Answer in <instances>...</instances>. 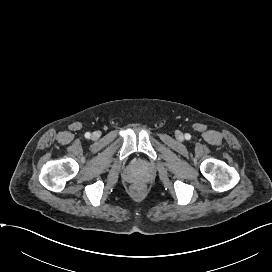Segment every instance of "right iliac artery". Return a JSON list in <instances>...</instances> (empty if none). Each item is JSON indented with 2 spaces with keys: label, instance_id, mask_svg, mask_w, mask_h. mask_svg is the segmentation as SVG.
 Here are the masks:
<instances>
[{
  "label": "right iliac artery",
  "instance_id": "82829eb1",
  "mask_svg": "<svg viewBox=\"0 0 272 272\" xmlns=\"http://www.w3.org/2000/svg\"><path fill=\"white\" fill-rule=\"evenodd\" d=\"M91 134L89 132L85 133L86 138H90Z\"/></svg>",
  "mask_w": 272,
  "mask_h": 272
}]
</instances>
